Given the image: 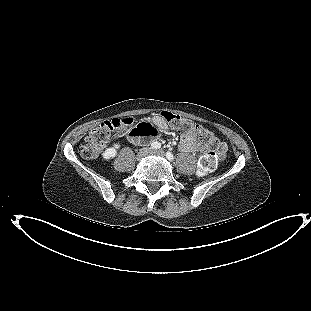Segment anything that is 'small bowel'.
Here are the masks:
<instances>
[{"mask_svg": "<svg viewBox=\"0 0 311 311\" xmlns=\"http://www.w3.org/2000/svg\"><path fill=\"white\" fill-rule=\"evenodd\" d=\"M151 120L155 124L156 128L159 131H162V130H165L168 128L166 121L164 120V118L161 115H154L151 118ZM131 142L133 144L139 143V142H133V141H131ZM179 149L183 152H191V153H195L198 150L197 145L195 144V142L193 140V137L189 134H184L182 136L180 144H179Z\"/></svg>", "mask_w": 311, "mask_h": 311, "instance_id": "c3829d8e", "label": "small bowel"}]
</instances>
